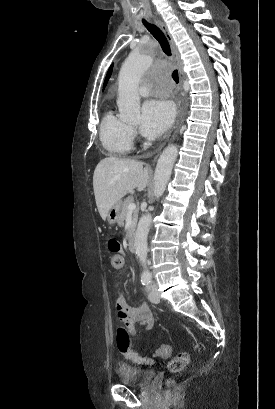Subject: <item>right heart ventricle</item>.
I'll return each mask as SVG.
<instances>
[{"instance_id":"obj_1","label":"right heart ventricle","mask_w":275,"mask_h":409,"mask_svg":"<svg viewBox=\"0 0 275 409\" xmlns=\"http://www.w3.org/2000/svg\"><path fill=\"white\" fill-rule=\"evenodd\" d=\"M100 141L105 151L114 157L129 154L133 146L130 126L113 112H107L100 125Z\"/></svg>"}]
</instances>
